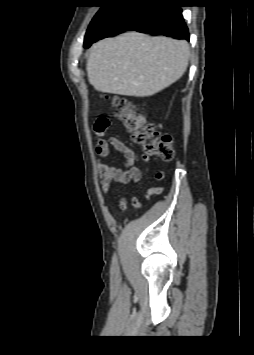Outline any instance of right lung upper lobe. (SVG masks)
<instances>
[{
  "instance_id": "1",
  "label": "right lung upper lobe",
  "mask_w": 254,
  "mask_h": 355,
  "mask_svg": "<svg viewBox=\"0 0 254 355\" xmlns=\"http://www.w3.org/2000/svg\"><path fill=\"white\" fill-rule=\"evenodd\" d=\"M104 3H110V4H123V3H130L134 2L137 0H102Z\"/></svg>"
}]
</instances>
